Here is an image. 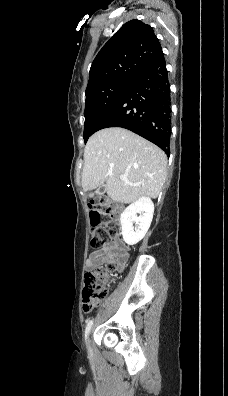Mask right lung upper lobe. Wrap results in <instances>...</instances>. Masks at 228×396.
I'll use <instances>...</instances> for the list:
<instances>
[{"mask_svg": "<svg viewBox=\"0 0 228 396\" xmlns=\"http://www.w3.org/2000/svg\"><path fill=\"white\" fill-rule=\"evenodd\" d=\"M161 51L151 26L139 20L125 23L95 57L86 92L113 82L131 83Z\"/></svg>", "mask_w": 228, "mask_h": 396, "instance_id": "obj_1", "label": "right lung upper lobe"}]
</instances>
